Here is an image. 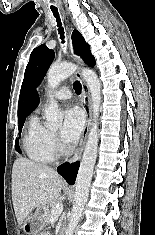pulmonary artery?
Segmentation results:
<instances>
[{"label":"pulmonary artery","mask_w":155,"mask_h":235,"mask_svg":"<svg viewBox=\"0 0 155 235\" xmlns=\"http://www.w3.org/2000/svg\"><path fill=\"white\" fill-rule=\"evenodd\" d=\"M57 100H68L72 97L71 90L68 87H62L54 93Z\"/></svg>","instance_id":"1"}]
</instances>
